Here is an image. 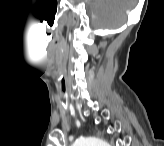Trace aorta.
Returning a JSON list of instances; mask_svg holds the SVG:
<instances>
[{"label":"aorta","mask_w":164,"mask_h":146,"mask_svg":"<svg viewBox=\"0 0 164 146\" xmlns=\"http://www.w3.org/2000/svg\"><path fill=\"white\" fill-rule=\"evenodd\" d=\"M78 146H106L107 143L99 138H87V139H83L81 140Z\"/></svg>","instance_id":"762f6f07"}]
</instances>
